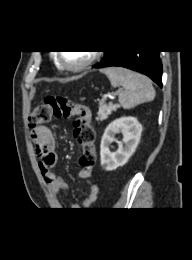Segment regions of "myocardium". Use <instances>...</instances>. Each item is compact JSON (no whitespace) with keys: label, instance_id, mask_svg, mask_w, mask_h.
<instances>
[{"label":"myocardium","instance_id":"obj_1","mask_svg":"<svg viewBox=\"0 0 192 260\" xmlns=\"http://www.w3.org/2000/svg\"><path fill=\"white\" fill-rule=\"evenodd\" d=\"M98 58V52L93 51L91 52V55L89 56L88 59H86L84 62L78 64V65H69L64 61L62 52H58L57 54V60L59 62V64L61 65V67H63L64 69L68 70V71H72V72H79L84 70L85 68H87L88 66H90L91 64H93Z\"/></svg>","mask_w":192,"mask_h":260}]
</instances>
